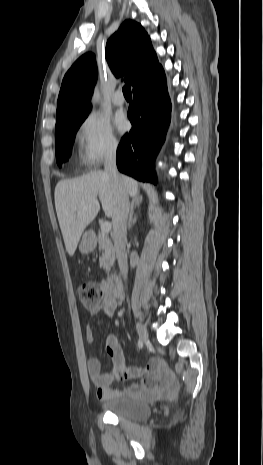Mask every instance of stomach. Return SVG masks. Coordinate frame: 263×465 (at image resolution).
I'll list each match as a JSON object with an SVG mask.
<instances>
[{"mask_svg":"<svg viewBox=\"0 0 263 465\" xmlns=\"http://www.w3.org/2000/svg\"><path fill=\"white\" fill-rule=\"evenodd\" d=\"M96 247V238L90 231L83 234L79 244V250L82 254H89Z\"/></svg>","mask_w":263,"mask_h":465,"instance_id":"obj_1","label":"stomach"}]
</instances>
